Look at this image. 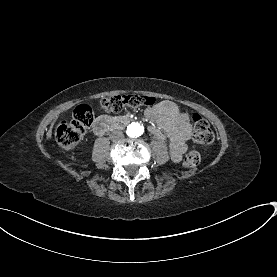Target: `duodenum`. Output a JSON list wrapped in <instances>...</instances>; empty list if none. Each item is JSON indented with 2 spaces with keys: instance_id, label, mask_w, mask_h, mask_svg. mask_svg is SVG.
<instances>
[{
  "instance_id": "1",
  "label": "duodenum",
  "mask_w": 277,
  "mask_h": 277,
  "mask_svg": "<svg viewBox=\"0 0 277 277\" xmlns=\"http://www.w3.org/2000/svg\"><path fill=\"white\" fill-rule=\"evenodd\" d=\"M128 116L110 117L103 116L97 119L93 126V131L96 135H103L104 133L121 128L130 122Z\"/></svg>"
}]
</instances>
